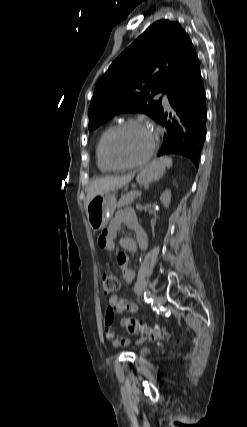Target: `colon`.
<instances>
[{
    "label": "colon",
    "mask_w": 247,
    "mask_h": 427,
    "mask_svg": "<svg viewBox=\"0 0 247 427\" xmlns=\"http://www.w3.org/2000/svg\"><path fill=\"white\" fill-rule=\"evenodd\" d=\"M119 288V280L112 273H104L102 277V290L106 295L116 292ZM123 326L133 334H139L144 338L154 340H168L171 333L164 328L151 327L134 317H128L123 320Z\"/></svg>",
    "instance_id": "1"
}]
</instances>
